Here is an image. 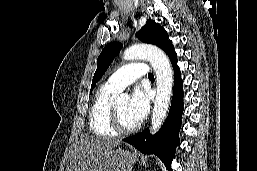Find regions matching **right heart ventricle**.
Instances as JSON below:
<instances>
[{"instance_id": "1", "label": "right heart ventricle", "mask_w": 257, "mask_h": 171, "mask_svg": "<svg viewBox=\"0 0 257 171\" xmlns=\"http://www.w3.org/2000/svg\"><path fill=\"white\" fill-rule=\"evenodd\" d=\"M117 93V90L107 84L97 90L88 116L90 130L93 134L105 137L117 135L110 122L111 101Z\"/></svg>"}]
</instances>
